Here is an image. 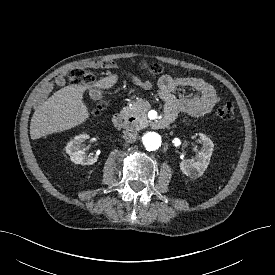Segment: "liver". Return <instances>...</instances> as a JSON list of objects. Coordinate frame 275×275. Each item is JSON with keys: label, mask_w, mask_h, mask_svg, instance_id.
Instances as JSON below:
<instances>
[{"label": "liver", "mask_w": 275, "mask_h": 275, "mask_svg": "<svg viewBox=\"0 0 275 275\" xmlns=\"http://www.w3.org/2000/svg\"><path fill=\"white\" fill-rule=\"evenodd\" d=\"M118 81L116 74L101 78L93 85H69L49 97L34 112L30 123L33 140L43 136L63 132L84 123L90 116L83 101L86 89L97 87L110 89Z\"/></svg>", "instance_id": "1"}]
</instances>
